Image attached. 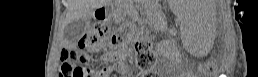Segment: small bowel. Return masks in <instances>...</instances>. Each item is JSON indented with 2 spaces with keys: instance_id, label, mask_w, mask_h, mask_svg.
<instances>
[{
  "instance_id": "obj_1",
  "label": "small bowel",
  "mask_w": 258,
  "mask_h": 77,
  "mask_svg": "<svg viewBox=\"0 0 258 77\" xmlns=\"http://www.w3.org/2000/svg\"><path fill=\"white\" fill-rule=\"evenodd\" d=\"M123 54L120 52L108 53L105 56V61L110 65L108 70L120 72L123 70L124 62L121 60ZM106 74V72H104Z\"/></svg>"
}]
</instances>
